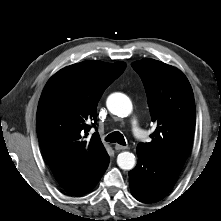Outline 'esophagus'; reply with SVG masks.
<instances>
[{
	"label": "esophagus",
	"mask_w": 221,
	"mask_h": 221,
	"mask_svg": "<svg viewBox=\"0 0 221 221\" xmlns=\"http://www.w3.org/2000/svg\"><path fill=\"white\" fill-rule=\"evenodd\" d=\"M115 149L116 150H125V149H128V146H123V145H120V144H116Z\"/></svg>",
	"instance_id": "1"
}]
</instances>
